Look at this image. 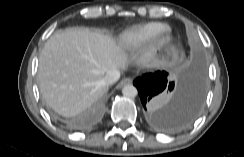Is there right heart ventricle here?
I'll return each instance as SVG.
<instances>
[{"instance_id": "1", "label": "right heart ventricle", "mask_w": 244, "mask_h": 157, "mask_svg": "<svg viewBox=\"0 0 244 157\" xmlns=\"http://www.w3.org/2000/svg\"><path fill=\"white\" fill-rule=\"evenodd\" d=\"M163 29V25L159 23H150L142 26L133 27L129 30H126L121 39L124 42H141L148 39L153 34L157 33Z\"/></svg>"}]
</instances>
